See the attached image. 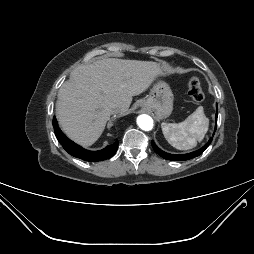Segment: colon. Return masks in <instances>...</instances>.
<instances>
[{
  "label": "colon",
  "mask_w": 254,
  "mask_h": 254,
  "mask_svg": "<svg viewBox=\"0 0 254 254\" xmlns=\"http://www.w3.org/2000/svg\"><path fill=\"white\" fill-rule=\"evenodd\" d=\"M188 94L196 103H201L204 101L205 95L198 77H193L190 79L188 84Z\"/></svg>",
  "instance_id": "1"
}]
</instances>
